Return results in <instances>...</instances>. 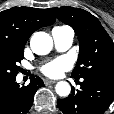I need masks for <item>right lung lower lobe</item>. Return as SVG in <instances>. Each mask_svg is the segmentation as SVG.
Wrapping results in <instances>:
<instances>
[{"mask_svg": "<svg viewBox=\"0 0 114 114\" xmlns=\"http://www.w3.org/2000/svg\"><path fill=\"white\" fill-rule=\"evenodd\" d=\"M43 81L32 75L27 86L20 87L15 78L0 82V114H26L32 106L35 92Z\"/></svg>", "mask_w": 114, "mask_h": 114, "instance_id": "right-lung-lower-lobe-1", "label": "right lung lower lobe"}]
</instances>
